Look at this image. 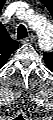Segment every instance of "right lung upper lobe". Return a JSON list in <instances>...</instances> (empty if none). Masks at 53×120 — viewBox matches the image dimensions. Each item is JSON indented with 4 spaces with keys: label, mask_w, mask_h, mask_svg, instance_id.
<instances>
[{
    "label": "right lung upper lobe",
    "mask_w": 53,
    "mask_h": 120,
    "mask_svg": "<svg viewBox=\"0 0 53 120\" xmlns=\"http://www.w3.org/2000/svg\"><path fill=\"white\" fill-rule=\"evenodd\" d=\"M18 49L17 41L13 40L3 25L0 29V65L3 66L10 54Z\"/></svg>",
    "instance_id": "1"
}]
</instances>
